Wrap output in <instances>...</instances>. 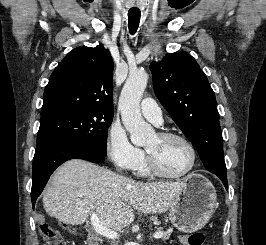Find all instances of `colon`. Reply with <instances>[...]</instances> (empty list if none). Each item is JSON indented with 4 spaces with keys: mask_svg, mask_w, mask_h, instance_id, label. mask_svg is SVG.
<instances>
[{
    "mask_svg": "<svg viewBox=\"0 0 266 245\" xmlns=\"http://www.w3.org/2000/svg\"><path fill=\"white\" fill-rule=\"evenodd\" d=\"M41 235L46 245H66L60 234L53 228V226L44 222L39 225ZM186 245H204L205 237L203 232L195 231L185 236Z\"/></svg>",
    "mask_w": 266,
    "mask_h": 245,
    "instance_id": "colon-1",
    "label": "colon"
}]
</instances>
